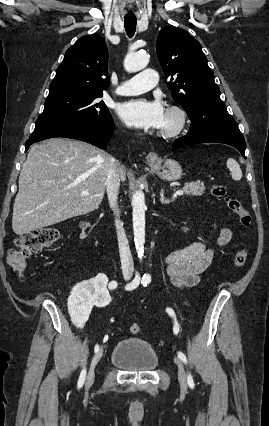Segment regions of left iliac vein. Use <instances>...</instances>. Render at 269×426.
<instances>
[{"mask_svg": "<svg viewBox=\"0 0 269 426\" xmlns=\"http://www.w3.org/2000/svg\"><path fill=\"white\" fill-rule=\"evenodd\" d=\"M174 362L178 367V381L180 383V386L184 389L187 388V376H186V371L185 368L183 366L182 361L178 358V357H174Z\"/></svg>", "mask_w": 269, "mask_h": 426, "instance_id": "4c4485c4", "label": "left iliac vein"}]
</instances>
